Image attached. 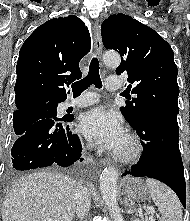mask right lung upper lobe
I'll use <instances>...</instances> for the list:
<instances>
[{
    "mask_svg": "<svg viewBox=\"0 0 190 221\" xmlns=\"http://www.w3.org/2000/svg\"><path fill=\"white\" fill-rule=\"evenodd\" d=\"M90 47L88 29L74 15L53 18L39 26L19 52L14 114L64 101V86L82 77L79 62Z\"/></svg>",
    "mask_w": 190,
    "mask_h": 221,
    "instance_id": "1",
    "label": "right lung upper lobe"
}]
</instances>
